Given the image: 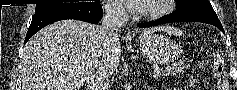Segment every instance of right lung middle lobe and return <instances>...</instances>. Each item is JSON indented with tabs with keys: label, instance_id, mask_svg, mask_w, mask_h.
Instances as JSON below:
<instances>
[{
	"label": "right lung middle lobe",
	"instance_id": "right-lung-middle-lobe-1",
	"mask_svg": "<svg viewBox=\"0 0 237 90\" xmlns=\"http://www.w3.org/2000/svg\"><path fill=\"white\" fill-rule=\"evenodd\" d=\"M98 2L99 1L90 2V3L37 4L36 9H35V14L51 11V10L66 7V6L92 5V4L98 3Z\"/></svg>",
	"mask_w": 237,
	"mask_h": 90
}]
</instances>
